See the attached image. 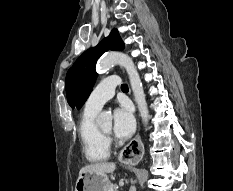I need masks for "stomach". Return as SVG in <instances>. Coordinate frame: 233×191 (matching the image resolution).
I'll return each mask as SVG.
<instances>
[{
	"instance_id": "1",
	"label": "stomach",
	"mask_w": 233,
	"mask_h": 191,
	"mask_svg": "<svg viewBox=\"0 0 233 191\" xmlns=\"http://www.w3.org/2000/svg\"><path fill=\"white\" fill-rule=\"evenodd\" d=\"M110 180L106 175L82 173L75 184V191H107Z\"/></svg>"
}]
</instances>
